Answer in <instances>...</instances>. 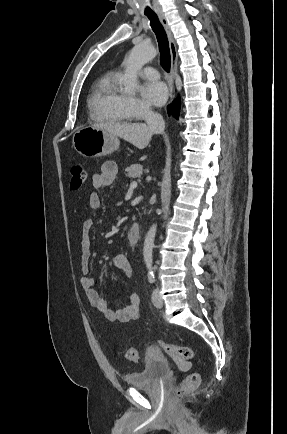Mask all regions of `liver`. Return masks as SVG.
I'll return each mask as SVG.
<instances>
[{
	"label": "liver",
	"instance_id": "liver-1",
	"mask_svg": "<svg viewBox=\"0 0 287 434\" xmlns=\"http://www.w3.org/2000/svg\"><path fill=\"white\" fill-rule=\"evenodd\" d=\"M93 127L120 137L139 149H144L149 144L153 134L157 133L145 123L106 122L94 124Z\"/></svg>",
	"mask_w": 287,
	"mask_h": 434
}]
</instances>
